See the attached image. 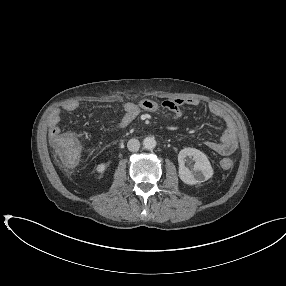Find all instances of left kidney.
Wrapping results in <instances>:
<instances>
[{"instance_id": "left-kidney-1", "label": "left kidney", "mask_w": 286, "mask_h": 286, "mask_svg": "<svg viewBox=\"0 0 286 286\" xmlns=\"http://www.w3.org/2000/svg\"><path fill=\"white\" fill-rule=\"evenodd\" d=\"M187 157L195 161L193 170L185 166ZM179 177L189 185L200 184L213 176V168L207 156L198 149L184 148L178 154Z\"/></svg>"}]
</instances>
